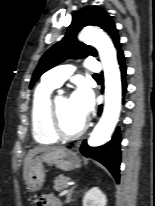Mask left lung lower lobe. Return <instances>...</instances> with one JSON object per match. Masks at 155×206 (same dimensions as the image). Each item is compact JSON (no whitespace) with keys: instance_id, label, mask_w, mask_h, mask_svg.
I'll return each mask as SVG.
<instances>
[{"instance_id":"obj_1","label":"left lung lower lobe","mask_w":155,"mask_h":206,"mask_svg":"<svg viewBox=\"0 0 155 206\" xmlns=\"http://www.w3.org/2000/svg\"><path fill=\"white\" fill-rule=\"evenodd\" d=\"M117 59L120 66L121 77H122V89L125 94L127 89L126 84V66L125 57L121 50V45L117 48ZM102 107L99 108V114L101 113ZM80 152L88 157L93 158L108 168L111 174L114 176L117 182H119V171H120V132L119 128L114 133L110 142L99 147H89L86 140L80 145Z\"/></svg>"}]
</instances>
